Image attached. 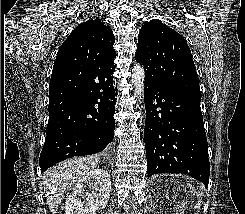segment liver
I'll list each match as a JSON object with an SVG mask.
<instances>
[{"label":"liver","mask_w":245,"mask_h":214,"mask_svg":"<svg viewBox=\"0 0 245 214\" xmlns=\"http://www.w3.org/2000/svg\"><path fill=\"white\" fill-rule=\"evenodd\" d=\"M100 163L98 156H88L63 161L42 176L46 202L52 214H56L64 194L89 171Z\"/></svg>","instance_id":"1"}]
</instances>
